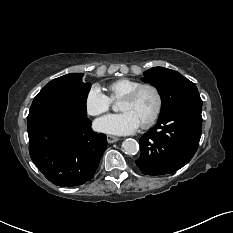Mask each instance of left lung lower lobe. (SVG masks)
Listing matches in <instances>:
<instances>
[{
  "label": "left lung lower lobe",
  "mask_w": 233,
  "mask_h": 233,
  "mask_svg": "<svg viewBox=\"0 0 233 233\" xmlns=\"http://www.w3.org/2000/svg\"><path fill=\"white\" fill-rule=\"evenodd\" d=\"M202 105H186L160 115L157 124L140 139L136 165L147 175L177 171L194 156L201 137Z\"/></svg>",
  "instance_id": "0a47b994"
}]
</instances>
